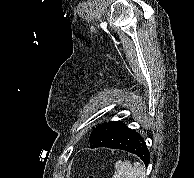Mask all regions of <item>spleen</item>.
<instances>
[{"mask_svg": "<svg viewBox=\"0 0 194 178\" xmlns=\"http://www.w3.org/2000/svg\"><path fill=\"white\" fill-rule=\"evenodd\" d=\"M115 169L113 178H145V167L139 162H135L132 166L127 160H118Z\"/></svg>", "mask_w": 194, "mask_h": 178, "instance_id": "spleen-1", "label": "spleen"}]
</instances>
